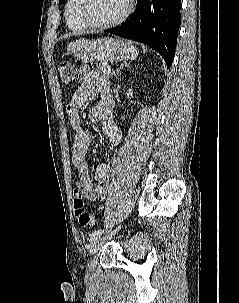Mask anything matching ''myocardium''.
Returning <instances> with one entry per match:
<instances>
[{"label":"myocardium","instance_id":"f54148a6","mask_svg":"<svg viewBox=\"0 0 239 303\" xmlns=\"http://www.w3.org/2000/svg\"><path fill=\"white\" fill-rule=\"evenodd\" d=\"M88 3H89V0H78V4L76 6V14H77L79 20L86 27L92 28V29H107V28L115 27V26L121 24L122 22H124L133 10V0H127L126 9L119 17H117L116 19L109 21V22L96 23V22L92 21L86 13V8H87Z\"/></svg>","mask_w":239,"mask_h":303}]
</instances>
